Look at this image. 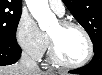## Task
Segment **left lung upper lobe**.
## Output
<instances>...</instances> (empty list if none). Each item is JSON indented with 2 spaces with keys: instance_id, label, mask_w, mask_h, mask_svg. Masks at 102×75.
Masks as SVG:
<instances>
[{
  "instance_id": "5c2ea615",
  "label": "left lung upper lobe",
  "mask_w": 102,
  "mask_h": 75,
  "mask_svg": "<svg viewBox=\"0 0 102 75\" xmlns=\"http://www.w3.org/2000/svg\"><path fill=\"white\" fill-rule=\"evenodd\" d=\"M71 14L88 32L94 52L102 48V0H63Z\"/></svg>"
}]
</instances>
